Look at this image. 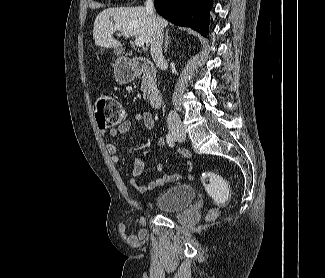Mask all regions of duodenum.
<instances>
[{
	"label": "duodenum",
	"mask_w": 325,
	"mask_h": 278,
	"mask_svg": "<svg viewBox=\"0 0 325 278\" xmlns=\"http://www.w3.org/2000/svg\"><path fill=\"white\" fill-rule=\"evenodd\" d=\"M134 74L145 79L148 83L147 100L151 108L157 109L163 102L162 95L153 87V80L155 77V68L153 64L146 58L132 59Z\"/></svg>",
	"instance_id": "obj_1"
}]
</instances>
